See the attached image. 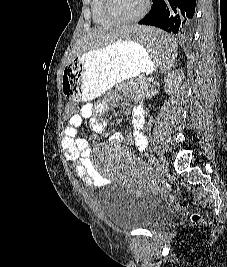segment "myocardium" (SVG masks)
Returning <instances> with one entry per match:
<instances>
[{
	"instance_id": "myocardium-1",
	"label": "myocardium",
	"mask_w": 227,
	"mask_h": 267,
	"mask_svg": "<svg viewBox=\"0 0 227 267\" xmlns=\"http://www.w3.org/2000/svg\"><path fill=\"white\" fill-rule=\"evenodd\" d=\"M111 2H112V0H103V11H104V14L110 20H112L114 23H118V24H129V23L137 22L146 15V13L149 9V0H144L143 7L139 13H137L136 15H134L132 17L122 18V17L117 16L112 11Z\"/></svg>"
}]
</instances>
